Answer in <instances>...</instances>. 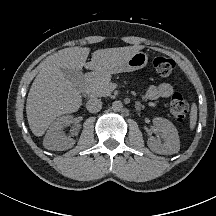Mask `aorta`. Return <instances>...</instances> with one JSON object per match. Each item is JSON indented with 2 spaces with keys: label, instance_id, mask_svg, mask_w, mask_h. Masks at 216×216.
Wrapping results in <instances>:
<instances>
[{
  "label": "aorta",
  "instance_id": "1",
  "mask_svg": "<svg viewBox=\"0 0 216 216\" xmlns=\"http://www.w3.org/2000/svg\"><path fill=\"white\" fill-rule=\"evenodd\" d=\"M112 109H113V111H115V112L121 111V110L123 109V104H122V102H121V101H114V102L112 103Z\"/></svg>",
  "mask_w": 216,
  "mask_h": 216
}]
</instances>
